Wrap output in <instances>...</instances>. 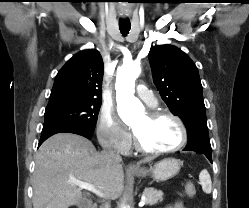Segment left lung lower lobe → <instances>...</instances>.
<instances>
[{
    "mask_svg": "<svg viewBox=\"0 0 249 208\" xmlns=\"http://www.w3.org/2000/svg\"><path fill=\"white\" fill-rule=\"evenodd\" d=\"M185 151H194L199 154H204L212 163L211 157V145L209 140L197 138L188 141V145L184 149Z\"/></svg>",
    "mask_w": 249,
    "mask_h": 208,
    "instance_id": "left-lung-lower-lobe-1",
    "label": "left lung lower lobe"
}]
</instances>
